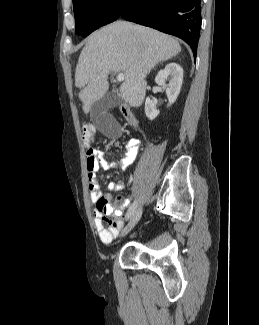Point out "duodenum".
Wrapping results in <instances>:
<instances>
[{
    "instance_id": "obj_1",
    "label": "duodenum",
    "mask_w": 259,
    "mask_h": 325,
    "mask_svg": "<svg viewBox=\"0 0 259 325\" xmlns=\"http://www.w3.org/2000/svg\"><path fill=\"white\" fill-rule=\"evenodd\" d=\"M121 112H122L123 116L126 118V120L132 126H136L137 125V120H136L134 114L130 111V109L127 106H122L121 107Z\"/></svg>"
}]
</instances>
